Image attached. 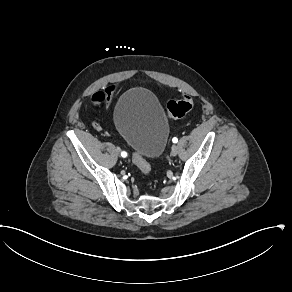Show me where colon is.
Masks as SVG:
<instances>
[{"instance_id":"1","label":"colon","mask_w":292,"mask_h":292,"mask_svg":"<svg viewBox=\"0 0 292 292\" xmlns=\"http://www.w3.org/2000/svg\"><path fill=\"white\" fill-rule=\"evenodd\" d=\"M104 101L105 94L103 92H97L93 95L90 107L95 109L97 105H101ZM193 105V100L189 96H183L177 100H169L166 104V116L169 118H182L192 110ZM93 127L97 131H100L101 125L98 119L93 120ZM132 161L143 176L149 177L151 168L142 151H134Z\"/></svg>"}]
</instances>
